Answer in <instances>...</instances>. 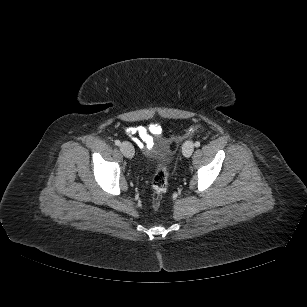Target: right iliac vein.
<instances>
[{"label":"right iliac vein","instance_id":"obj_1","mask_svg":"<svg viewBox=\"0 0 307 307\" xmlns=\"http://www.w3.org/2000/svg\"><path fill=\"white\" fill-rule=\"evenodd\" d=\"M120 150L122 154L127 158H132L134 156V148L133 146L128 142H123L120 145Z\"/></svg>","mask_w":307,"mask_h":307}]
</instances>
